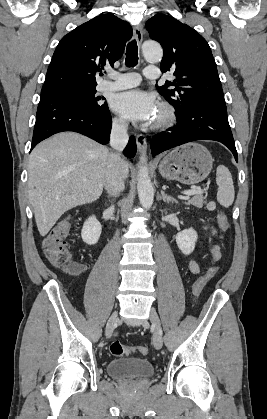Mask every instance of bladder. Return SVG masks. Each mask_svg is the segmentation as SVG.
I'll return each mask as SVG.
<instances>
[{"label":"bladder","instance_id":"31cf9c89","mask_svg":"<svg viewBox=\"0 0 267 419\" xmlns=\"http://www.w3.org/2000/svg\"><path fill=\"white\" fill-rule=\"evenodd\" d=\"M106 372L112 378H137L144 379L151 377L154 372L153 364L144 358H117L106 365Z\"/></svg>","mask_w":267,"mask_h":419}]
</instances>
